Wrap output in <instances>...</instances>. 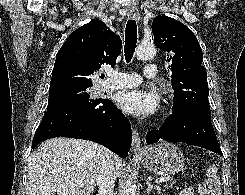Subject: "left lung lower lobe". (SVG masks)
I'll list each match as a JSON object with an SVG mask.
<instances>
[{"mask_svg": "<svg viewBox=\"0 0 245 195\" xmlns=\"http://www.w3.org/2000/svg\"><path fill=\"white\" fill-rule=\"evenodd\" d=\"M210 119L211 113L197 109L173 112L159 131L147 133L146 142L147 144L160 141L183 142L222 155Z\"/></svg>", "mask_w": 245, "mask_h": 195, "instance_id": "obj_1", "label": "left lung lower lobe"}]
</instances>
